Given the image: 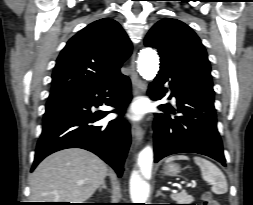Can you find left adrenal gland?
Listing matches in <instances>:
<instances>
[{"label": "left adrenal gland", "instance_id": "1", "mask_svg": "<svg viewBox=\"0 0 253 205\" xmlns=\"http://www.w3.org/2000/svg\"><path fill=\"white\" fill-rule=\"evenodd\" d=\"M160 195H161V196H164V194H163L160 190H158V191H157V194H156V197H158V196H160Z\"/></svg>", "mask_w": 253, "mask_h": 205}]
</instances>
